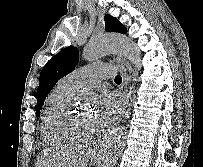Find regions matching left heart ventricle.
Listing matches in <instances>:
<instances>
[{"instance_id": "left-heart-ventricle-1", "label": "left heart ventricle", "mask_w": 203, "mask_h": 167, "mask_svg": "<svg viewBox=\"0 0 203 167\" xmlns=\"http://www.w3.org/2000/svg\"><path fill=\"white\" fill-rule=\"evenodd\" d=\"M78 124L83 130H96L94 114L90 110L75 111Z\"/></svg>"}]
</instances>
